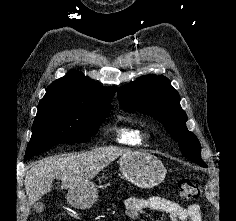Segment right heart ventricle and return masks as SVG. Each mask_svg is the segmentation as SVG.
Masks as SVG:
<instances>
[{
  "mask_svg": "<svg viewBox=\"0 0 236 221\" xmlns=\"http://www.w3.org/2000/svg\"><path fill=\"white\" fill-rule=\"evenodd\" d=\"M144 129L137 124H124L116 128V141L126 146H141L144 142Z\"/></svg>",
  "mask_w": 236,
  "mask_h": 221,
  "instance_id": "right-heart-ventricle-1",
  "label": "right heart ventricle"
}]
</instances>
